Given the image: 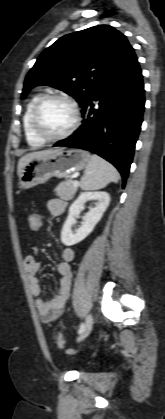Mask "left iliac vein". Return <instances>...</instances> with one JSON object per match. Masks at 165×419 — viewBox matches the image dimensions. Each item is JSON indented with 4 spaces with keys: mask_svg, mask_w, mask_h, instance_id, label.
<instances>
[{
    "mask_svg": "<svg viewBox=\"0 0 165 419\" xmlns=\"http://www.w3.org/2000/svg\"><path fill=\"white\" fill-rule=\"evenodd\" d=\"M92 327H93V316L91 314H88L86 318V322L84 324V329L82 333L80 334V336L77 338V342L84 340L90 334Z\"/></svg>",
    "mask_w": 165,
    "mask_h": 419,
    "instance_id": "obj_1",
    "label": "left iliac vein"
}]
</instances>
